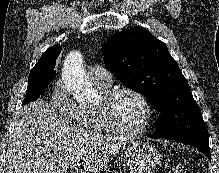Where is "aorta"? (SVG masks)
I'll list each match as a JSON object with an SVG mask.
<instances>
[{"label":"aorta","instance_id":"762f6f07","mask_svg":"<svg viewBox=\"0 0 219 173\" xmlns=\"http://www.w3.org/2000/svg\"><path fill=\"white\" fill-rule=\"evenodd\" d=\"M63 78L67 90L77 99L90 97L94 94L92 83L83 68V61L78 52L71 53L67 57Z\"/></svg>","mask_w":219,"mask_h":173}]
</instances>
